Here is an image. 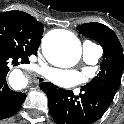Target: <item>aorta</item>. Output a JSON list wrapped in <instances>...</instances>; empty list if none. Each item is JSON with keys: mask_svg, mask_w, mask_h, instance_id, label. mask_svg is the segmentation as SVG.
I'll list each match as a JSON object with an SVG mask.
<instances>
[{"mask_svg": "<svg viewBox=\"0 0 124 124\" xmlns=\"http://www.w3.org/2000/svg\"><path fill=\"white\" fill-rule=\"evenodd\" d=\"M42 52L44 57L53 65L71 67L80 59L81 43L73 33L56 29L49 31L43 37Z\"/></svg>", "mask_w": 124, "mask_h": 124, "instance_id": "762f6f07", "label": "aorta"}]
</instances>
